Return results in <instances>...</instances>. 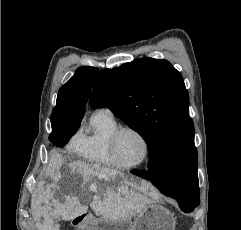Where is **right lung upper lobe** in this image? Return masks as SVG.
Masks as SVG:
<instances>
[{
  "instance_id": "right-lung-upper-lobe-1",
  "label": "right lung upper lobe",
  "mask_w": 241,
  "mask_h": 230,
  "mask_svg": "<svg viewBox=\"0 0 241 230\" xmlns=\"http://www.w3.org/2000/svg\"><path fill=\"white\" fill-rule=\"evenodd\" d=\"M97 72L98 68L94 67H80L76 70L75 75L59 89L51 122L81 123L91 92L90 87Z\"/></svg>"
}]
</instances>
